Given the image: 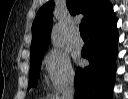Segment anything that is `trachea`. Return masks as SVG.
Here are the masks:
<instances>
[{
  "label": "trachea",
  "instance_id": "1",
  "mask_svg": "<svg viewBox=\"0 0 128 99\" xmlns=\"http://www.w3.org/2000/svg\"><path fill=\"white\" fill-rule=\"evenodd\" d=\"M79 31L82 37H87V30L84 23L79 25Z\"/></svg>",
  "mask_w": 128,
  "mask_h": 99
}]
</instances>
